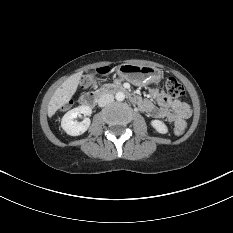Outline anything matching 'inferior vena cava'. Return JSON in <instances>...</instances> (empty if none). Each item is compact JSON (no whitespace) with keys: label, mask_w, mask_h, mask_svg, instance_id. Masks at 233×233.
<instances>
[{"label":"inferior vena cava","mask_w":233,"mask_h":233,"mask_svg":"<svg viewBox=\"0 0 233 233\" xmlns=\"http://www.w3.org/2000/svg\"><path fill=\"white\" fill-rule=\"evenodd\" d=\"M114 101V96L112 94H103L99 99H98V105L100 107H104L107 104L111 103Z\"/></svg>","instance_id":"602c4592"}]
</instances>
